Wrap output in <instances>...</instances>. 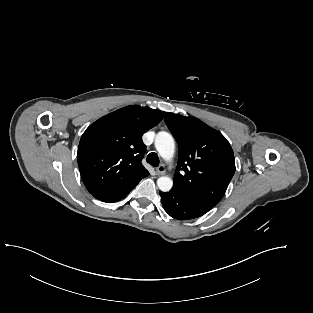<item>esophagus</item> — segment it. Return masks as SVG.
<instances>
[{"label":"esophagus","instance_id":"34e87169","mask_svg":"<svg viewBox=\"0 0 313 313\" xmlns=\"http://www.w3.org/2000/svg\"><path fill=\"white\" fill-rule=\"evenodd\" d=\"M156 173L157 175H163L165 173V166L164 165H160L156 168Z\"/></svg>","mask_w":313,"mask_h":313}]
</instances>
